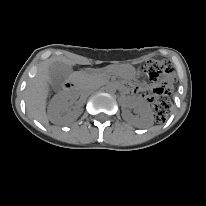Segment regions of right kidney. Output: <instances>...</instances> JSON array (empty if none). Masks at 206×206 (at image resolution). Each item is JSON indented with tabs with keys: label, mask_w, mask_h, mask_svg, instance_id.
Masks as SVG:
<instances>
[{
	"label": "right kidney",
	"mask_w": 206,
	"mask_h": 206,
	"mask_svg": "<svg viewBox=\"0 0 206 206\" xmlns=\"http://www.w3.org/2000/svg\"><path fill=\"white\" fill-rule=\"evenodd\" d=\"M76 99L74 94L55 95L48 106V117L50 121L56 124H64L74 121L80 114V111L71 107Z\"/></svg>",
	"instance_id": "obj_1"
}]
</instances>
